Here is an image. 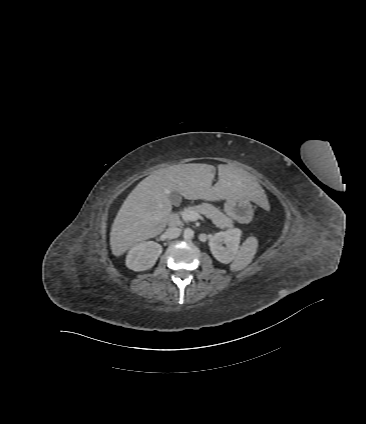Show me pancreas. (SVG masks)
<instances>
[{"label":"pancreas","instance_id":"1","mask_svg":"<svg viewBox=\"0 0 366 424\" xmlns=\"http://www.w3.org/2000/svg\"><path fill=\"white\" fill-rule=\"evenodd\" d=\"M186 209L205 215L207 218L211 219L216 227H219L220 229L233 228V220L209 203H202Z\"/></svg>","mask_w":366,"mask_h":424}]
</instances>
